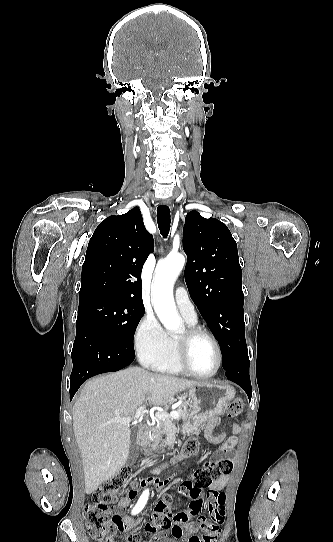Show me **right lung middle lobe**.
Masks as SVG:
<instances>
[{
  "label": "right lung middle lobe",
  "instance_id": "dd1d6c3e",
  "mask_svg": "<svg viewBox=\"0 0 333 542\" xmlns=\"http://www.w3.org/2000/svg\"><path fill=\"white\" fill-rule=\"evenodd\" d=\"M144 312V306L94 298L79 304L76 326L81 323L99 326L121 347L135 354L133 338Z\"/></svg>",
  "mask_w": 333,
  "mask_h": 542
}]
</instances>
